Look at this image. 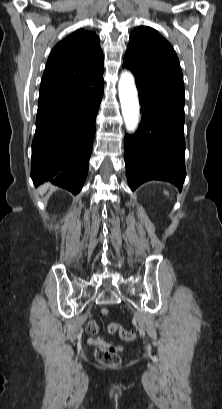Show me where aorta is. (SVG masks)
I'll return each instance as SVG.
<instances>
[{"instance_id": "aorta-1", "label": "aorta", "mask_w": 222, "mask_h": 409, "mask_svg": "<svg viewBox=\"0 0 222 409\" xmlns=\"http://www.w3.org/2000/svg\"><path fill=\"white\" fill-rule=\"evenodd\" d=\"M118 90L126 129L129 133H133L139 122V102L134 77L131 73L121 74Z\"/></svg>"}]
</instances>
